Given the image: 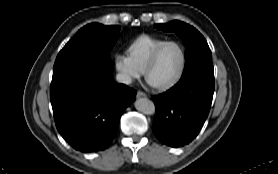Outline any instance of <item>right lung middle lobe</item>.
I'll return each mask as SVG.
<instances>
[{
  "label": "right lung middle lobe",
  "instance_id": "obj_1",
  "mask_svg": "<svg viewBox=\"0 0 278 174\" xmlns=\"http://www.w3.org/2000/svg\"><path fill=\"white\" fill-rule=\"evenodd\" d=\"M119 25L90 23L82 27L58 53L53 76L69 69H81L97 74H112L110 52L120 31Z\"/></svg>",
  "mask_w": 278,
  "mask_h": 174
}]
</instances>
